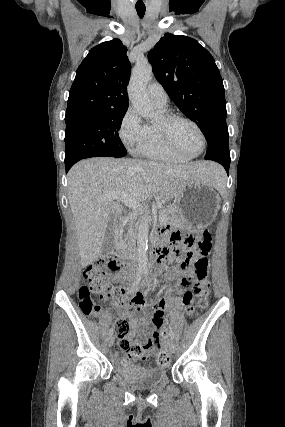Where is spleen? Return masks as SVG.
<instances>
[{
    "label": "spleen",
    "instance_id": "1",
    "mask_svg": "<svg viewBox=\"0 0 285 427\" xmlns=\"http://www.w3.org/2000/svg\"><path fill=\"white\" fill-rule=\"evenodd\" d=\"M220 192H223L226 187V175L223 170L217 171L216 173V184L214 186Z\"/></svg>",
    "mask_w": 285,
    "mask_h": 427
}]
</instances>
